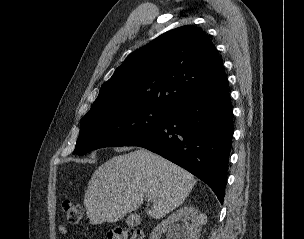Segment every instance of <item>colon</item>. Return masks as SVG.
I'll return each mask as SVG.
<instances>
[{
  "mask_svg": "<svg viewBox=\"0 0 304 239\" xmlns=\"http://www.w3.org/2000/svg\"><path fill=\"white\" fill-rule=\"evenodd\" d=\"M62 207L69 223L78 224L81 221L83 217L81 204L66 200ZM107 239H142V233L136 229L113 228L108 232Z\"/></svg>",
  "mask_w": 304,
  "mask_h": 239,
  "instance_id": "1",
  "label": "colon"
}]
</instances>
